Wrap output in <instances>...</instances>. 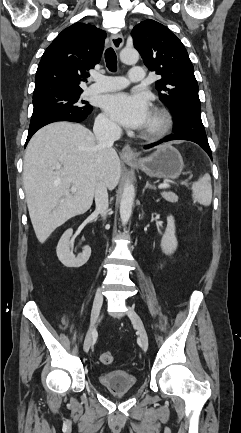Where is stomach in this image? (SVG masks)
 Wrapping results in <instances>:
<instances>
[{
    "mask_svg": "<svg viewBox=\"0 0 241 433\" xmlns=\"http://www.w3.org/2000/svg\"><path fill=\"white\" fill-rule=\"evenodd\" d=\"M126 163L150 177L164 179L178 178L184 167L181 154L170 144L159 146L149 157Z\"/></svg>",
    "mask_w": 241,
    "mask_h": 433,
    "instance_id": "0dacf381",
    "label": "stomach"
}]
</instances>
